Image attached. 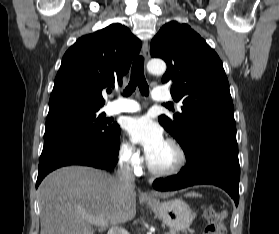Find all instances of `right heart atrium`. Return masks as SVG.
<instances>
[{
  "instance_id": "obj_1",
  "label": "right heart atrium",
  "mask_w": 279,
  "mask_h": 234,
  "mask_svg": "<svg viewBox=\"0 0 279 234\" xmlns=\"http://www.w3.org/2000/svg\"><path fill=\"white\" fill-rule=\"evenodd\" d=\"M119 163L131 171L137 170L142 163L140 152L134 145L127 141H121L118 147Z\"/></svg>"
}]
</instances>
